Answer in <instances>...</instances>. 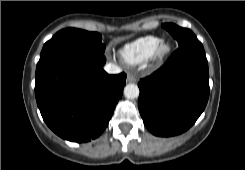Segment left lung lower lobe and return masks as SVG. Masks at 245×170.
<instances>
[{"instance_id": "left-lung-lower-lobe-1", "label": "left lung lower lobe", "mask_w": 245, "mask_h": 170, "mask_svg": "<svg viewBox=\"0 0 245 170\" xmlns=\"http://www.w3.org/2000/svg\"><path fill=\"white\" fill-rule=\"evenodd\" d=\"M138 86V108L152 134L169 137L185 132L204 111L209 98L205 51L179 47Z\"/></svg>"}]
</instances>
